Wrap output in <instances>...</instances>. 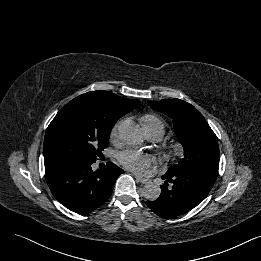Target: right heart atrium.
Here are the masks:
<instances>
[{"mask_svg": "<svg viewBox=\"0 0 261 261\" xmlns=\"http://www.w3.org/2000/svg\"><path fill=\"white\" fill-rule=\"evenodd\" d=\"M120 122H117L110 131V140L116 141L119 138Z\"/></svg>", "mask_w": 261, "mask_h": 261, "instance_id": "right-heart-atrium-1", "label": "right heart atrium"}]
</instances>
